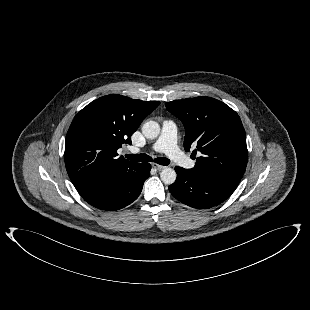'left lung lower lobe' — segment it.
<instances>
[{"label": "left lung lower lobe", "instance_id": "obj_1", "mask_svg": "<svg viewBox=\"0 0 310 310\" xmlns=\"http://www.w3.org/2000/svg\"><path fill=\"white\" fill-rule=\"evenodd\" d=\"M176 181L169 186L170 193L180 202L194 208L207 209L225 201L237 185L222 179L196 173L191 169L175 167Z\"/></svg>", "mask_w": 310, "mask_h": 310}]
</instances>
